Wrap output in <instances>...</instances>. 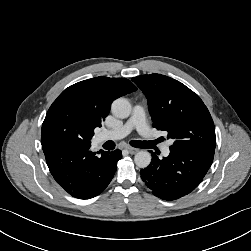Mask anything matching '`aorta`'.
<instances>
[{
  "label": "aorta",
  "mask_w": 251,
  "mask_h": 251,
  "mask_svg": "<svg viewBox=\"0 0 251 251\" xmlns=\"http://www.w3.org/2000/svg\"><path fill=\"white\" fill-rule=\"evenodd\" d=\"M112 113L121 119L127 118L131 114V104L125 98L116 99L111 106ZM135 164L140 168H146L151 163V154L148 151H139L134 156Z\"/></svg>",
  "instance_id": "762f6f07"
}]
</instances>
